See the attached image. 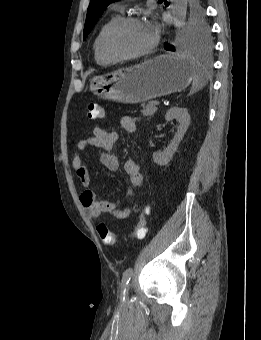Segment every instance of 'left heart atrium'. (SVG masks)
<instances>
[{
  "mask_svg": "<svg viewBox=\"0 0 261 340\" xmlns=\"http://www.w3.org/2000/svg\"><path fill=\"white\" fill-rule=\"evenodd\" d=\"M149 29H151L152 25L151 24H147L146 25Z\"/></svg>",
  "mask_w": 261,
  "mask_h": 340,
  "instance_id": "left-heart-atrium-1",
  "label": "left heart atrium"
}]
</instances>
